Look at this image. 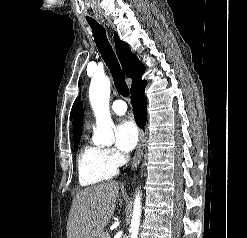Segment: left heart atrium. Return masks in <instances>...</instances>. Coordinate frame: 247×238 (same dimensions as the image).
<instances>
[{
	"label": "left heart atrium",
	"instance_id": "left-heart-atrium-1",
	"mask_svg": "<svg viewBox=\"0 0 247 238\" xmlns=\"http://www.w3.org/2000/svg\"><path fill=\"white\" fill-rule=\"evenodd\" d=\"M139 133L136 125L129 119L122 120L115 129L116 147L122 152L131 151L137 144Z\"/></svg>",
	"mask_w": 247,
	"mask_h": 238
}]
</instances>
